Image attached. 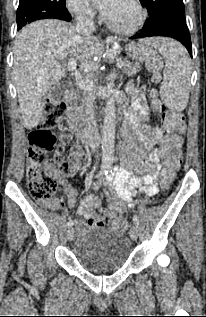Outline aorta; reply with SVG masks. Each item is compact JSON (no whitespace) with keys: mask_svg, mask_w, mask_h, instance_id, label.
<instances>
[{"mask_svg":"<svg viewBox=\"0 0 206 317\" xmlns=\"http://www.w3.org/2000/svg\"><path fill=\"white\" fill-rule=\"evenodd\" d=\"M116 109L113 97L108 99L103 122L102 164L111 167L113 164L115 145Z\"/></svg>","mask_w":206,"mask_h":317,"instance_id":"1","label":"aorta"}]
</instances>
